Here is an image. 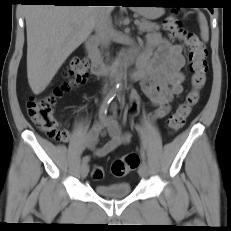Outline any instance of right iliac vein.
I'll return each mask as SVG.
<instances>
[{
    "mask_svg": "<svg viewBox=\"0 0 231 231\" xmlns=\"http://www.w3.org/2000/svg\"><path fill=\"white\" fill-rule=\"evenodd\" d=\"M89 173V165L88 164H82L80 168V176L82 179L86 178Z\"/></svg>",
    "mask_w": 231,
    "mask_h": 231,
    "instance_id": "obj_1",
    "label": "right iliac vein"
}]
</instances>
